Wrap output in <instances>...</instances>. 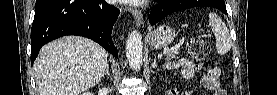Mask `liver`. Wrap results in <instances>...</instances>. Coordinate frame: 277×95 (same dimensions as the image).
<instances>
[{"label": "liver", "mask_w": 277, "mask_h": 95, "mask_svg": "<svg viewBox=\"0 0 277 95\" xmlns=\"http://www.w3.org/2000/svg\"><path fill=\"white\" fill-rule=\"evenodd\" d=\"M108 53L79 36H65L42 47L34 62L39 95H79L104 74Z\"/></svg>", "instance_id": "obj_1"}]
</instances>
